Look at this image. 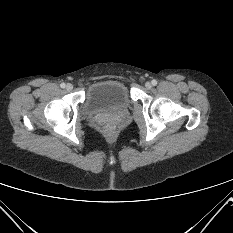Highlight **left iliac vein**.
Returning <instances> with one entry per match:
<instances>
[{
  "label": "left iliac vein",
  "mask_w": 233,
  "mask_h": 233,
  "mask_svg": "<svg viewBox=\"0 0 233 233\" xmlns=\"http://www.w3.org/2000/svg\"><path fill=\"white\" fill-rule=\"evenodd\" d=\"M145 87H146L147 89H150V88L152 87V84H151L150 82H146V83H145Z\"/></svg>",
  "instance_id": "obj_1"
}]
</instances>
